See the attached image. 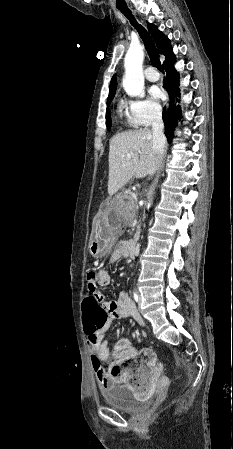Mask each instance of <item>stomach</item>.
<instances>
[{
  "label": "stomach",
  "mask_w": 233,
  "mask_h": 449,
  "mask_svg": "<svg viewBox=\"0 0 233 449\" xmlns=\"http://www.w3.org/2000/svg\"><path fill=\"white\" fill-rule=\"evenodd\" d=\"M121 196H115L111 201H100L99 209L104 210V212H96V232L98 234L97 239H95L90 244V253L94 257H102L112 253L114 249V239L110 236L113 232V227H117L118 221L120 219V214L118 210L120 209Z\"/></svg>",
  "instance_id": "obj_1"
}]
</instances>
